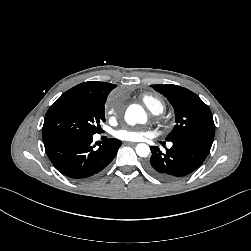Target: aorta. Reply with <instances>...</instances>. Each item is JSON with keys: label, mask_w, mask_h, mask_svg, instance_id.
I'll return each instance as SVG.
<instances>
[{"label": "aorta", "mask_w": 251, "mask_h": 251, "mask_svg": "<svg viewBox=\"0 0 251 251\" xmlns=\"http://www.w3.org/2000/svg\"><path fill=\"white\" fill-rule=\"evenodd\" d=\"M125 120L129 125H135L137 123L144 124L147 121V116L140 105L132 104L125 112ZM135 150L140 157H147L150 153V148L145 143L138 144Z\"/></svg>", "instance_id": "1"}]
</instances>
